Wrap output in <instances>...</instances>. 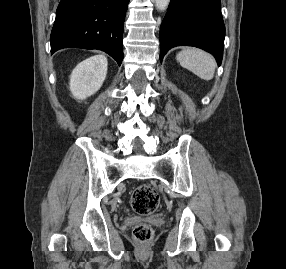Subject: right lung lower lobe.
<instances>
[{
    "label": "right lung lower lobe",
    "mask_w": 286,
    "mask_h": 269,
    "mask_svg": "<svg viewBox=\"0 0 286 269\" xmlns=\"http://www.w3.org/2000/svg\"><path fill=\"white\" fill-rule=\"evenodd\" d=\"M129 0H61L51 32V53L67 47L99 49L120 65Z\"/></svg>",
    "instance_id": "1"
}]
</instances>
